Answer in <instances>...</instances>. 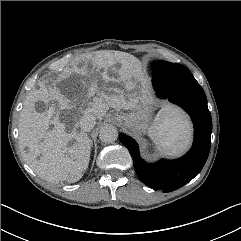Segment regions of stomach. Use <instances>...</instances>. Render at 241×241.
<instances>
[{
    "mask_svg": "<svg viewBox=\"0 0 241 241\" xmlns=\"http://www.w3.org/2000/svg\"><path fill=\"white\" fill-rule=\"evenodd\" d=\"M120 82H116L112 84V86L117 87ZM154 109L150 98L146 95H142L133 109L127 113H117L115 115V120L123 127H126L135 133H144L149 129Z\"/></svg>",
    "mask_w": 241,
    "mask_h": 241,
    "instance_id": "stomach-1",
    "label": "stomach"
}]
</instances>
